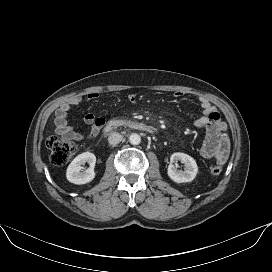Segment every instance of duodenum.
Here are the masks:
<instances>
[{
  "label": "duodenum",
  "mask_w": 272,
  "mask_h": 272,
  "mask_svg": "<svg viewBox=\"0 0 272 272\" xmlns=\"http://www.w3.org/2000/svg\"><path fill=\"white\" fill-rule=\"evenodd\" d=\"M122 127L130 128V129H134L138 131H143V132H148V133L154 132V128L146 123L138 122V121H125V120H118V119L109 120L104 127V132L110 133Z\"/></svg>",
  "instance_id": "1"
}]
</instances>
